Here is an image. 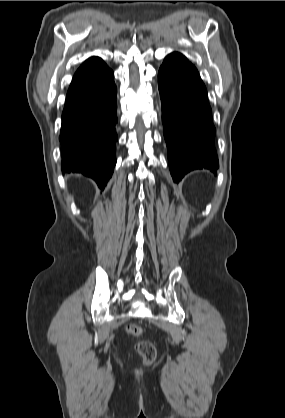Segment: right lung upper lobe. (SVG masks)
Here are the masks:
<instances>
[{
    "label": "right lung upper lobe",
    "mask_w": 285,
    "mask_h": 418,
    "mask_svg": "<svg viewBox=\"0 0 285 418\" xmlns=\"http://www.w3.org/2000/svg\"><path fill=\"white\" fill-rule=\"evenodd\" d=\"M108 69L107 65L99 57H91L87 59L76 71L68 92H71L96 79Z\"/></svg>",
    "instance_id": "obj_1"
}]
</instances>
